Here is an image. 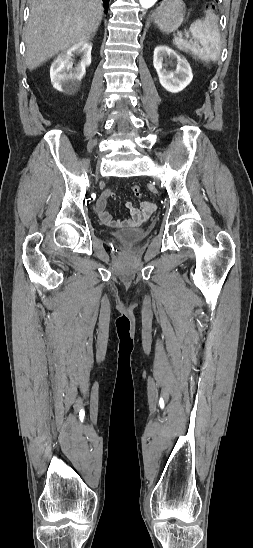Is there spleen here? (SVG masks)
Here are the masks:
<instances>
[{
  "label": "spleen",
  "mask_w": 253,
  "mask_h": 548,
  "mask_svg": "<svg viewBox=\"0 0 253 548\" xmlns=\"http://www.w3.org/2000/svg\"><path fill=\"white\" fill-rule=\"evenodd\" d=\"M192 38L189 41L175 37L174 43L178 49L191 52L201 61L208 64L217 61L221 55V37L218 29V19L211 11H206L203 20H196L190 25Z\"/></svg>",
  "instance_id": "3e777b00"
}]
</instances>
